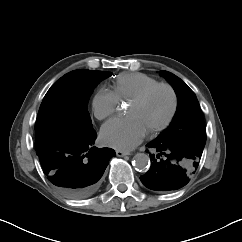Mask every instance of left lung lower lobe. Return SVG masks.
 Wrapping results in <instances>:
<instances>
[{
  "label": "left lung lower lobe",
  "mask_w": 242,
  "mask_h": 242,
  "mask_svg": "<svg viewBox=\"0 0 242 242\" xmlns=\"http://www.w3.org/2000/svg\"><path fill=\"white\" fill-rule=\"evenodd\" d=\"M147 146L157 155L149 153L151 167L140 179L148 189L158 192L185 186L198 168L203 152V148L192 144L172 145L158 140Z\"/></svg>",
  "instance_id": "1"
}]
</instances>
